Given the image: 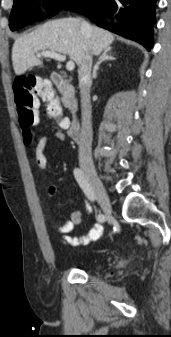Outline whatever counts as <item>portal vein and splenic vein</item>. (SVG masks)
I'll list each match as a JSON object with an SVG mask.
<instances>
[{
	"label": "portal vein and splenic vein",
	"mask_w": 171,
	"mask_h": 337,
	"mask_svg": "<svg viewBox=\"0 0 171 337\" xmlns=\"http://www.w3.org/2000/svg\"><path fill=\"white\" fill-rule=\"evenodd\" d=\"M49 57V58H53L56 59L58 61H65L66 57L62 54L56 53V52H52V51H43L41 53L38 54V57ZM66 68L68 71H72L75 68V64L73 61H68L66 64Z\"/></svg>",
	"instance_id": "obj_1"
}]
</instances>
